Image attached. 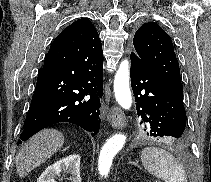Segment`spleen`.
<instances>
[{"instance_id":"1","label":"spleen","mask_w":211,"mask_h":182,"mask_svg":"<svg viewBox=\"0 0 211 182\" xmlns=\"http://www.w3.org/2000/svg\"><path fill=\"white\" fill-rule=\"evenodd\" d=\"M141 161L144 168L164 182H187L184 166L170 152L158 147L142 150Z\"/></svg>"}]
</instances>
